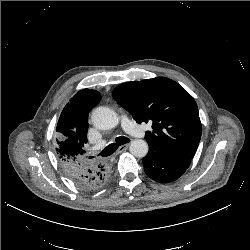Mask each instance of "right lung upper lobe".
Returning <instances> with one entry per match:
<instances>
[{
	"mask_svg": "<svg viewBox=\"0 0 250 250\" xmlns=\"http://www.w3.org/2000/svg\"><path fill=\"white\" fill-rule=\"evenodd\" d=\"M101 100L96 90L79 91L64 107L56 127L58 139L56 148L61 164L66 170L91 167L101 171V162L85 160L84 145L87 143L88 113Z\"/></svg>",
	"mask_w": 250,
	"mask_h": 250,
	"instance_id": "1",
	"label": "right lung upper lobe"
}]
</instances>
